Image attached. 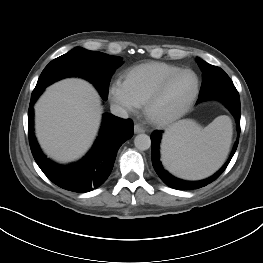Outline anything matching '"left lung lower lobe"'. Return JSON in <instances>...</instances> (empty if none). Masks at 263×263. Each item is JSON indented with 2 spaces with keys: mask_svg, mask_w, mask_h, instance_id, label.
<instances>
[{
  "mask_svg": "<svg viewBox=\"0 0 263 263\" xmlns=\"http://www.w3.org/2000/svg\"><path fill=\"white\" fill-rule=\"evenodd\" d=\"M201 70L203 72L204 81L208 82L210 78L214 77L217 71V67L212 65L202 66ZM207 99H217L225 104V106L231 111V113L235 117L238 134H240V98L236 88H221V89L207 90L203 94L199 95L198 103ZM161 135H162V131H154L151 134L152 164L156 173L161 178V180L171 188L178 190L198 189L216 180L223 173V171L226 169L227 165L229 164L230 160L232 159L237 149L238 140H239V135H238L237 141L235 142L234 148L232 150V153L228 161L213 176L201 181H184L173 177L162 167V164L159 159V143L161 140Z\"/></svg>",
  "mask_w": 263,
  "mask_h": 263,
  "instance_id": "0a47b994",
  "label": "left lung lower lobe"
}]
</instances>
